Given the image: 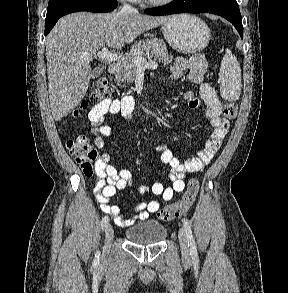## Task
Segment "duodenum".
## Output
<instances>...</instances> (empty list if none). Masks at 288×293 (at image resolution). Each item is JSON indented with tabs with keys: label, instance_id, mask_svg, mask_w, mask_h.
<instances>
[{
	"label": "duodenum",
	"instance_id": "duodenum-1",
	"mask_svg": "<svg viewBox=\"0 0 288 293\" xmlns=\"http://www.w3.org/2000/svg\"><path fill=\"white\" fill-rule=\"evenodd\" d=\"M120 64L118 62H113L109 65L108 72L111 77L117 75L120 71Z\"/></svg>",
	"mask_w": 288,
	"mask_h": 293
}]
</instances>
